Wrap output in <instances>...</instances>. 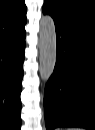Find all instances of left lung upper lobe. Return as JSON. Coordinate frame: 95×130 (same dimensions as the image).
<instances>
[{"label":"left lung upper lobe","mask_w":95,"mask_h":130,"mask_svg":"<svg viewBox=\"0 0 95 130\" xmlns=\"http://www.w3.org/2000/svg\"><path fill=\"white\" fill-rule=\"evenodd\" d=\"M43 13L50 14L59 24H72L95 34L94 0H45Z\"/></svg>","instance_id":"1"}]
</instances>
